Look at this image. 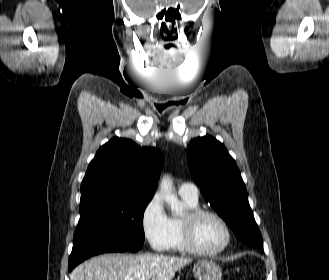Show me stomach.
<instances>
[{
  "mask_svg": "<svg viewBox=\"0 0 329 280\" xmlns=\"http://www.w3.org/2000/svg\"><path fill=\"white\" fill-rule=\"evenodd\" d=\"M193 274L198 280H221V268L213 261L201 260L193 267Z\"/></svg>",
  "mask_w": 329,
  "mask_h": 280,
  "instance_id": "1",
  "label": "stomach"
}]
</instances>
